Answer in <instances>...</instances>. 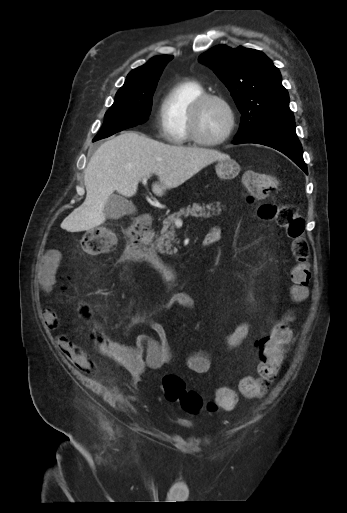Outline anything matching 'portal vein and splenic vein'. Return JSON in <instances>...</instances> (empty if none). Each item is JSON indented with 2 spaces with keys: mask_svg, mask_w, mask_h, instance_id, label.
Returning a JSON list of instances; mask_svg holds the SVG:
<instances>
[{
  "mask_svg": "<svg viewBox=\"0 0 347 513\" xmlns=\"http://www.w3.org/2000/svg\"><path fill=\"white\" fill-rule=\"evenodd\" d=\"M146 182H147V177H145V178L143 179L142 183L145 185V184H146ZM174 224H175L176 226H181V225L183 224V221H182V219H180L179 217H177V218L174 220Z\"/></svg>",
  "mask_w": 347,
  "mask_h": 513,
  "instance_id": "1",
  "label": "portal vein and splenic vein"
}]
</instances>
